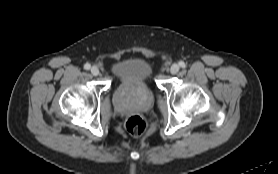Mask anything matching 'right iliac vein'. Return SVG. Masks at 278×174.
<instances>
[{"mask_svg":"<svg viewBox=\"0 0 278 174\" xmlns=\"http://www.w3.org/2000/svg\"><path fill=\"white\" fill-rule=\"evenodd\" d=\"M90 71L93 76H97L99 74V69L96 66H93Z\"/></svg>","mask_w":278,"mask_h":174,"instance_id":"obj_1","label":"right iliac vein"}]
</instances>
